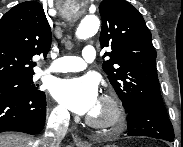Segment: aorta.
I'll return each instance as SVG.
<instances>
[{
	"mask_svg": "<svg viewBox=\"0 0 183 147\" xmlns=\"http://www.w3.org/2000/svg\"><path fill=\"white\" fill-rule=\"evenodd\" d=\"M99 26V18L94 15H88L84 17L78 25L76 36L78 39L90 38L98 31Z\"/></svg>",
	"mask_w": 183,
	"mask_h": 147,
	"instance_id": "762f6f07",
	"label": "aorta"
}]
</instances>
